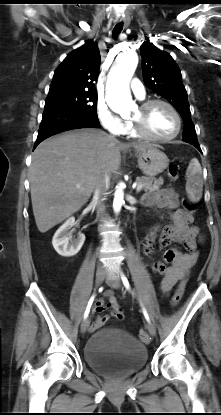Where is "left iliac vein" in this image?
<instances>
[{"instance_id": "1", "label": "left iliac vein", "mask_w": 221, "mask_h": 415, "mask_svg": "<svg viewBox=\"0 0 221 415\" xmlns=\"http://www.w3.org/2000/svg\"><path fill=\"white\" fill-rule=\"evenodd\" d=\"M106 283L114 289H118V288L121 287V281L118 277L108 276L106 278ZM147 329H148L151 336L156 335V328L151 322H148Z\"/></svg>"}]
</instances>
